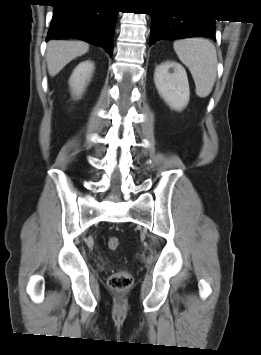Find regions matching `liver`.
<instances>
[{"instance_id":"1","label":"liver","mask_w":261,"mask_h":355,"mask_svg":"<svg viewBox=\"0 0 261 355\" xmlns=\"http://www.w3.org/2000/svg\"><path fill=\"white\" fill-rule=\"evenodd\" d=\"M89 45L82 41H50L47 46L46 60L49 75H57L74 58L85 54Z\"/></svg>"}]
</instances>
